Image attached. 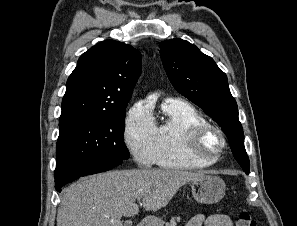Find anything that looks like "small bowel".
I'll list each match as a JSON object with an SVG mask.
<instances>
[{
    "label": "small bowel",
    "mask_w": 297,
    "mask_h": 226,
    "mask_svg": "<svg viewBox=\"0 0 297 226\" xmlns=\"http://www.w3.org/2000/svg\"><path fill=\"white\" fill-rule=\"evenodd\" d=\"M186 226H233L232 220L225 214L205 215L202 213L194 215Z\"/></svg>",
    "instance_id": "1"
}]
</instances>
